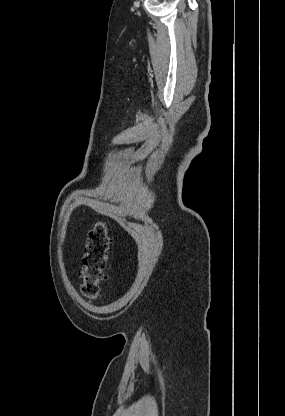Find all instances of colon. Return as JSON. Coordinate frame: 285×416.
<instances>
[{
  "instance_id": "5ec220e1",
  "label": "colon",
  "mask_w": 285,
  "mask_h": 416,
  "mask_svg": "<svg viewBox=\"0 0 285 416\" xmlns=\"http://www.w3.org/2000/svg\"><path fill=\"white\" fill-rule=\"evenodd\" d=\"M109 251L110 237L107 226L98 222L88 233L83 256L81 292L90 300L101 297V283L106 276Z\"/></svg>"
}]
</instances>
